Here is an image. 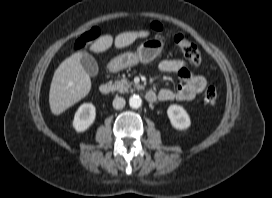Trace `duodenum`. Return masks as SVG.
<instances>
[{
  "instance_id": "1",
  "label": "duodenum",
  "mask_w": 272,
  "mask_h": 198,
  "mask_svg": "<svg viewBox=\"0 0 272 198\" xmlns=\"http://www.w3.org/2000/svg\"><path fill=\"white\" fill-rule=\"evenodd\" d=\"M99 91L103 95L111 94L113 92V85L109 83H104L99 87ZM145 98L148 102L152 103L156 101L157 96L153 91H148L145 94Z\"/></svg>"
}]
</instances>
